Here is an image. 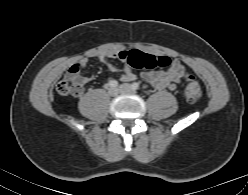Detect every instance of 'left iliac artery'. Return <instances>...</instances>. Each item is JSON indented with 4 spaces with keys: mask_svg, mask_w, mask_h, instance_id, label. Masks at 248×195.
<instances>
[{
    "mask_svg": "<svg viewBox=\"0 0 248 195\" xmlns=\"http://www.w3.org/2000/svg\"><path fill=\"white\" fill-rule=\"evenodd\" d=\"M132 88H133L134 90L139 89V84H138L137 82H134V83L132 84Z\"/></svg>",
    "mask_w": 248,
    "mask_h": 195,
    "instance_id": "left-iliac-artery-1",
    "label": "left iliac artery"
}]
</instances>
